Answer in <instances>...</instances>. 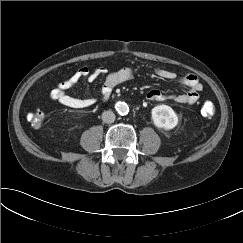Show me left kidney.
Wrapping results in <instances>:
<instances>
[{"instance_id":"5707ae66","label":"left kidney","mask_w":243,"mask_h":243,"mask_svg":"<svg viewBox=\"0 0 243 243\" xmlns=\"http://www.w3.org/2000/svg\"><path fill=\"white\" fill-rule=\"evenodd\" d=\"M154 125L164 130H171L178 124V117L174 110L168 105L155 106L152 111Z\"/></svg>"}]
</instances>
